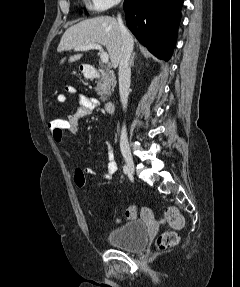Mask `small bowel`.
<instances>
[{
  "label": "small bowel",
  "mask_w": 240,
  "mask_h": 287,
  "mask_svg": "<svg viewBox=\"0 0 240 287\" xmlns=\"http://www.w3.org/2000/svg\"><path fill=\"white\" fill-rule=\"evenodd\" d=\"M67 94L76 97L79 107L76 111L70 114L66 119L68 121V129L66 133L70 135H75L78 131L79 122L86 116H89L99 105V102L96 98L92 96H87L79 93L74 87L68 85L65 87ZM56 100L59 103H65L67 101V96L64 93L56 95ZM55 141L59 144H63L64 136L61 139L54 138ZM70 156V155H69ZM117 163L114 157V150L111 144H106V170L104 171L102 177L104 180H111L115 173L117 172ZM84 174L95 175L96 172L90 167L78 168ZM141 217L144 219H151L153 217L151 209L143 207L141 209Z\"/></svg>",
  "instance_id": "1"
}]
</instances>
